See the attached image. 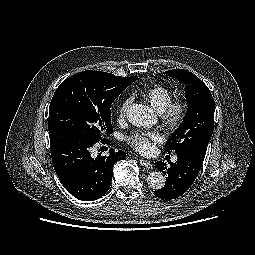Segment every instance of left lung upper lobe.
Returning a JSON list of instances; mask_svg holds the SVG:
<instances>
[{
	"label": "left lung upper lobe",
	"mask_w": 255,
	"mask_h": 255,
	"mask_svg": "<svg viewBox=\"0 0 255 255\" xmlns=\"http://www.w3.org/2000/svg\"><path fill=\"white\" fill-rule=\"evenodd\" d=\"M185 84L187 113L165 144L166 150L176 154L196 152L206 154L214 129V100L208 87L193 73L174 69L165 72Z\"/></svg>",
	"instance_id": "5c2ea615"
}]
</instances>
